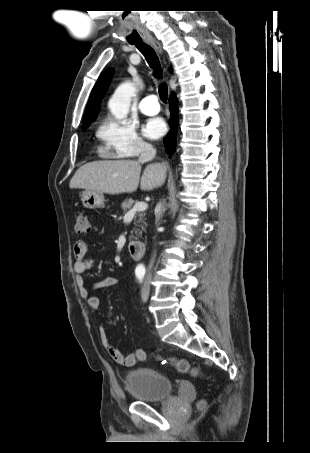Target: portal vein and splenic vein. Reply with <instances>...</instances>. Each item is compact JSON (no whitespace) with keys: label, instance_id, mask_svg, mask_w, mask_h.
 <instances>
[{"label":"portal vein and splenic vein","instance_id":"18ae733b","mask_svg":"<svg viewBox=\"0 0 310 453\" xmlns=\"http://www.w3.org/2000/svg\"><path fill=\"white\" fill-rule=\"evenodd\" d=\"M148 208L147 203L137 202L131 210L127 212V215H134L136 212L145 211Z\"/></svg>","mask_w":310,"mask_h":453}]
</instances>
